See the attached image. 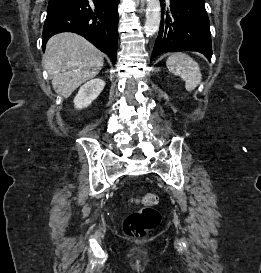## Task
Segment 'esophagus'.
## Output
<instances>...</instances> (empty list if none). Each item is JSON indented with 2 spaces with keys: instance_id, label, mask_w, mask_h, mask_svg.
Segmentation results:
<instances>
[{
  "instance_id": "34e87169",
  "label": "esophagus",
  "mask_w": 261,
  "mask_h": 273,
  "mask_svg": "<svg viewBox=\"0 0 261 273\" xmlns=\"http://www.w3.org/2000/svg\"><path fill=\"white\" fill-rule=\"evenodd\" d=\"M140 4H141V6L143 7L144 4H145V0H140Z\"/></svg>"
}]
</instances>
